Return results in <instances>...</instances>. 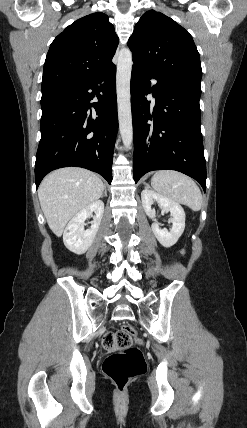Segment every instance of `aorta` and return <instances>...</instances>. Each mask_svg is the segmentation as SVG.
<instances>
[{"label": "aorta", "instance_id": "obj_1", "mask_svg": "<svg viewBox=\"0 0 247 428\" xmlns=\"http://www.w3.org/2000/svg\"><path fill=\"white\" fill-rule=\"evenodd\" d=\"M132 53L122 49L118 54L116 90L119 129L123 144L129 148L133 140V125L131 113L130 80L132 71Z\"/></svg>", "mask_w": 247, "mask_h": 428}]
</instances>
